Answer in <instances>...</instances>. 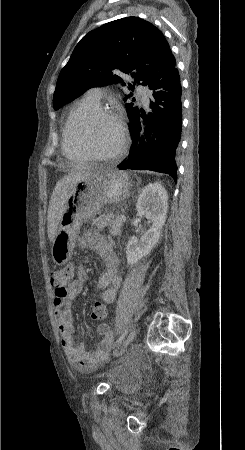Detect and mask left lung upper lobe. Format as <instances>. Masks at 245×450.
Returning <instances> with one entry per match:
<instances>
[{
  "mask_svg": "<svg viewBox=\"0 0 245 450\" xmlns=\"http://www.w3.org/2000/svg\"><path fill=\"white\" fill-rule=\"evenodd\" d=\"M171 56L163 33L150 22L137 17L109 22L89 32L75 47L59 74L54 109L92 87L123 82L120 77L123 74L134 79L133 85L129 84L130 89L134 90L136 83L147 86ZM125 107L130 120L139 111L133 103Z\"/></svg>",
  "mask_w": 245,
  "mask_h": 450,
  "instance_id": "5c2ea615",
  "label": "left lung upper lobe"
}]
</instances>
